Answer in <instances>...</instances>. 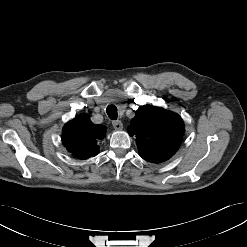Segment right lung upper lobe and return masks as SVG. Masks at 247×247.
I'll return each instance as SVG.
<instances>
[{
    "label": "right lung upper lobe",
    "mask_w": 247,
    "mask_h": 247,
    "mask_svg": "<svg viewBox=\"0 0 247 247\" xmlns=\"http://www.w3.org/2000/svg\"><path fill=\"white\" fill-rule=\"evenodd\" d=\"M106 135L103 125H95L89 116L80 115L65 124L62 131L64 146L75 157L89 158L99 153L97 142Z\"/></svg>",
    "instance_id": "cb5924a9"
}]
</instances>
